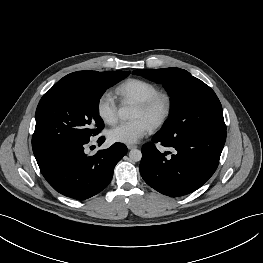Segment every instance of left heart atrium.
Returning a JSON list of instances; mask_svg holds the SVG:
<instances>
[{"instance_id": "obj_1", "label": "left heart atrium", "mask_w": 263, "mask_h": 263, "mask_svg": "<svg viewBox=\"0 0 263 263\" xmlns=\"http://www.w3.org/2000/svg\"><path fill=\"white\" fill-rule=\"evenodd\" d=\"M152 130V125L144 119L121 122L108 132L110 141L133 145Z\"/></svg>"}]
</instances>
